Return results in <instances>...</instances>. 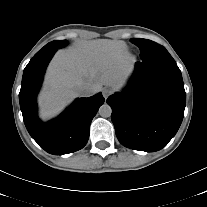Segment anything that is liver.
<instances>
[{
	"instance_id": "liver-1",
	"label": "liver",
	"mask_w": 207,
	"mask_h": 207,
	"mask_svg": "<svg viewBox=\"0 0 207 207\" xmlns=\"http://www.w3.org/2000/svg\"><path fill=\"white\" fill-rule=\"evenodd\" d=\"M132 67L133 58L123 41L91 40L58 51L48 67L39 95L41 117L47 119L59 113L78 96L79 85H89L95 93L103 85L119 90Z\"/></svg>"
}]
</instances>
